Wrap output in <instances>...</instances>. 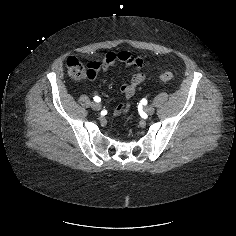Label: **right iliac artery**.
Returning <instances> with one entry per match:
<instances>
[{"instance_id": "1", "label": "right iliac artery", "mask_w": 236, "mask_h": 236, "mask_svg": "<svg viewBox=\"0 0 236 236\" xmlns=\"http://www.w3.org/2000/svg\"><path fill=\"white\" fill-rule=\"evenodd\" d=\"M93 99H94L95 102H100L101 101L100 97H98V96H95Z\"/></svg>"}]
</instances>
